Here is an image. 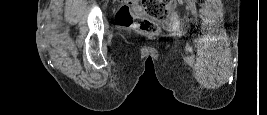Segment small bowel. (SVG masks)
<instances>
[{
  "mask_svg": "<svg viewBox=\"0 0 267 115\" xmlns=\"http://www.w3.org/2000/svg\"><path fill=\"white\" fill-rule=\"evenodd\" d=\"M130 5H132V7H133V8H135V9H138V7H137V6H135V5H133V4H130Z\"/></svg>",
  "mask_w": 267,
  "mask_h": 115,
  "instance_id": "small-bowel-1",
  "label": "small bowel"
}]
</instances>
